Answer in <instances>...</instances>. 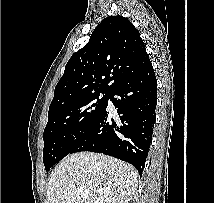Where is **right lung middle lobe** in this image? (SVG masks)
Listing matches in <instances>:
<instances>
[{
    "instance_id": "right-lung-middle-lobe-1",
    "label": "right lung middle lobe",
    "mask_w": 214,
    "mask_h": 203,
    "mask_svg": "<svg viewBox=\"0 0 214 203\" xmlns=\"http://www.w3.org/2000/svg\"><path fill=\"white\" fill-rule=\"evenodd\" d=\"M94 93L65 103L48 112L44 129L43 162L48 171L71 153L88 133L107 103V93Z\"/></svg>"
}]
</instances>
